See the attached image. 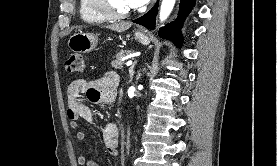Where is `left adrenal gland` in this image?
Wrapping results in <instances>:
<instances>
[{
    "label": "left adrenal gland",
    "instance_id": "1",
    "mask_svg": "<svg viewBox=\"0 0 277 166\" xmlns=\"http://www.w3.org/2000/svg\"><path fill=\"white\" fill-rule=\"evenodd\" d=\"M136 63H137V61H135L134 62V64L130 67V69H129V74H130V81H132V79H133V75H134V67H135V65H136Z\"/></svg>",
    "mask_w": 277,
    "mask_h": 166
}]
</instances>
